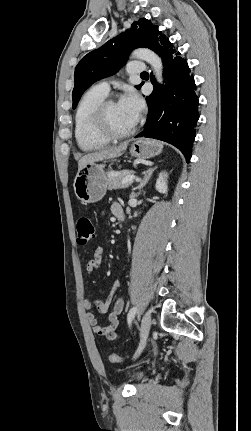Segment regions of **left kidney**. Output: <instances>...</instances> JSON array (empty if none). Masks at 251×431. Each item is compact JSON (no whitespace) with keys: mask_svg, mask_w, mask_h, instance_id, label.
<instances>
[{"mask_svg":"<svg viewBox=\"0 0 251 431\" xmlns=\"http://www.w3.org/2000/svg\"><path fill=\"white\" fill-rule=\"evenodd\" d=\"M167 172H161L159 174V177L156 181V190L160 193H167L168 186H167Z\"/></svg>","mask_w":251,"mask_h":431,"instance_id":"1","label":"left kidney"}]
</instances>
